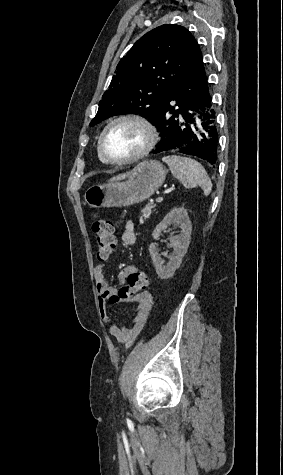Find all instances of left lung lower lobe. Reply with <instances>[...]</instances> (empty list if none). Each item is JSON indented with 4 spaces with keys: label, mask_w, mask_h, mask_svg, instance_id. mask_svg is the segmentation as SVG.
<instances>
[{
    "label": "left lung lower lobe",
    "mask_w": 283,
    "mask_h": 475,
    "mask_svg": "<svg viewBox=\"0 0 283 475\" xmlns=\"http://www.w3.org/2000/svg\"><path fill=\"white\" fill-rule=\"evenodd\" d=\"M211 100L204 65L179 79L167 93L153 123L161 141L152 153L175 150L215 165L218 131ZM193 129L199 133L194 134Z\"/></svg>",
    "instance_id": "obj_1"
}]
</instances>
